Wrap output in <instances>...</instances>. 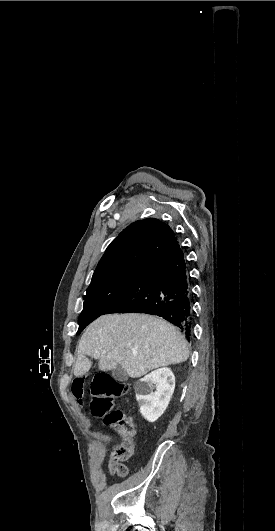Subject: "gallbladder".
<instances>
[{"mask_svg": "<svg viewBox=\"0 0 275 531\" xmlns=\"http://www.w3.org/2000/svg\"><path fill=\"white\" fill-rule=\"evenodd\" d=\"M112 377L115 381H121V383L128 381V375L121 365H117L116 369H112Z\"/></svg>", "mask_w": 275, "mask_h": 531, "instance_id": "gallbladder-1", "label": "gallbladder"}]
</instances>
